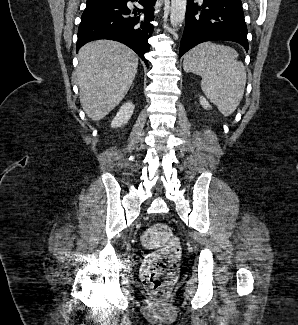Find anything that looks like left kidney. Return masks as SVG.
Wrapping results in <instances>:
<instances>
[{"label":"left kidney","instance_id":"1","mask_svg":"<svg viewBox=\"0 0 298 325\" xmlns=\"http://www.w3.org/2000/svg\"><path fill=\"white\" fill-rule=\"evenodd\" d=\"M199 102H200V104H202L203 108H206V110H210V108H212L209 100H207V98H205V96H200Z\"/></svg>","mask_w":298,"mask_h":325}]
</instances>
